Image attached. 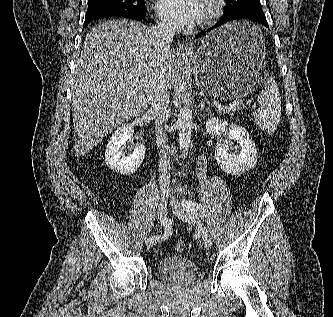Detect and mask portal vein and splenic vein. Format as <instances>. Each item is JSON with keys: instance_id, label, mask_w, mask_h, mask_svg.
Segmentation results:
<instances>
[{"instance_id": "1", "label": "portal vein and splenic vein", "mask_w": 333, "mask_h": 317, "mask_svg": "<svg viewBox=\"0 0 333 317\" xmlns=\"http://www.w3.org/2000/svg\"><path fill=\"white\" fill-rule=\"evenodd\" d=\"M214 103H215V104H218V102H214ZM233 104H234V105H235V104H239V102L236 101V102H234ZM253 107L256 108V105H253Z\"/></svg>"}]
</instances>
